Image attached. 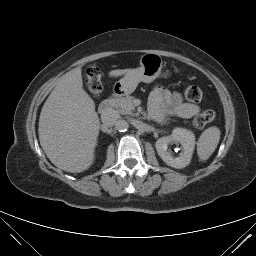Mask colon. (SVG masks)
I'll list each match as a JSON object with an SVG mask.
<instances>
[{"mask_svg":"<svg viewBox=\"0 0 256 256\" xmlns=\"http://www.w3.org/2000/svg\"><path fill=\"white\" fill-rule=\"evenodd\" d=\"M85 83L88 91L93 96H99L102 92L103 85H102V77L98 67L92 66L90 67L85 75ZM185 98L188 101L198 103L203 98V93L201 89L197 86H189L186 88ZM216 112L214 110H206L196 116L193 120V126L195 128L201 129L205 127L207 124L213 122L216 119Z\"/></svg>","mask_w":256,"mask_h":256,"instance_id":"1","label":"colon"}]
</instances>
